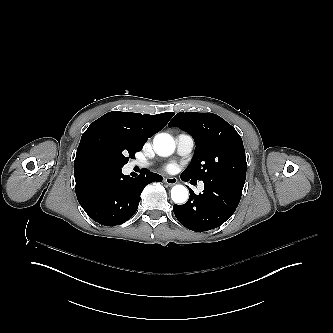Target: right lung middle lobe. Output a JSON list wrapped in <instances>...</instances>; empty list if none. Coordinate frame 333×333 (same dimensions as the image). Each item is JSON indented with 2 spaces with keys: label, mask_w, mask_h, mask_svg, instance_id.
I'll return each instance as SVG.
<instances>
[{
  "label": "right lung middle lobe",
  "mask_w": 333,
  "mask_h": 333,
  "mask_svg": "<svg viewBox=\"0 0 333 333\" xmlns=\"http://www.w3.org/2000/svg\"><path fill=\"white\" fill-rule=\"evenodd\" d=\"M141 149L116 133L96 130L81 139L76 156L94 157L111 167L122 168Z\"/></svg>",
  "instance_id": "right-lung-middle-lobe-1"
}]
</instances>
